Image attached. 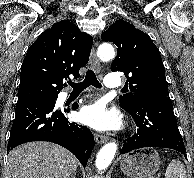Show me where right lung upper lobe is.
<instances>
[{"mask_svg": "<svg viewBox=\"0 0 194 178\" xmlns=\"http://www.w3.org/2000/svg\"><path fill=\"white\" fill-rule=\"evenodd\" d=\"M93 39L70 21L62 20L29 47L21 67L19 103L58 97L63 80L88 62Z\"/></svg>", "mask_w": 194, "mask_h": 178, "instance_id": "cb5924a9", "label": "right lung upper lobe"}]
</instances>
